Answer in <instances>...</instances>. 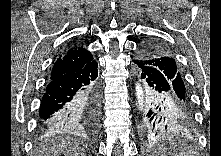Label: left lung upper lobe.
Returning <instances> with one entry per match:
<instances>
[{
	"label": "left lung upper lobe",
	"instance_id": "obj_1",
	"mask_svg": "<svg viewBox=\"0 0 221 156\" xmlns=\"http://www.w3.org/2000/svg\"><path fill=\"white\" fill-rule=\"evenodd\" d=\"M138 60L145 64L171 72L175 77L179 98L187 106L192 107L179 67L162 44L158 42L144 43L138 56Z\"/></svg>",
	"mask_w": 221,
	"mask_h": 156
}]
</instances>
